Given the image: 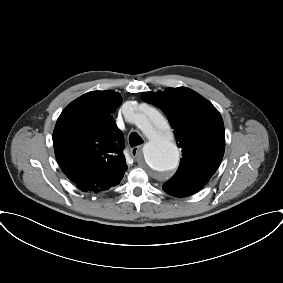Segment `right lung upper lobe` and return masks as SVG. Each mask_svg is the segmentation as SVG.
I'll return each mask as SVG.
<instances>
[{"instance_id":"right-lung-upper-lobe-1","label":"right lung upper lobe","mask_w":283,"mask_h":283,"mask_svg":"<svg viewBox=\"0 0 283 283\" xmlns=\"http://www.w3.org/2000/svg\"><path fill=\"white\" fill-rule=\"evenodd\" d=\"M121 101L112 90L91 91L71 102L56 122L55 156L59 165L72 167L61 169L82 191L116 186L127 170L123 134L112 116Z\"/></svg>"}]
</instances>
